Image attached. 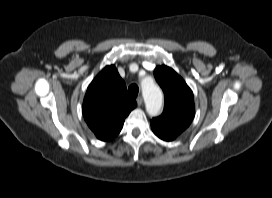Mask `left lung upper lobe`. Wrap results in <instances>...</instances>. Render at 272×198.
Returning <instances> with one entry per match:
<instances>
[{
  "label": "left lung upper lobe",
  "instance_id": "5c2ea615",
  "mask_svg": "<svg viewBox=\"0 0 272 198\" xmlns=\"http://www.w3.org/2000/svg\"><path fill=\"white\" fill-rule=\"evenodd\" d=\"M154 76L164 92L165 105L163 113L151 120V127L176 138L194 118L193 92L170 67H156Z\"/></svg>",
  "mask_w": 272,
  "mask_h": 198
}]
</instances>
